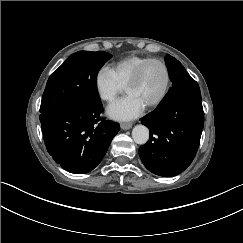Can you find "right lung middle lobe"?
<instances>
[{"instance_id":"obj_1","label":"right lung middle lobe","mask_w":243,"mask_h":243,"mask_svg":"<svg viewBox=\"0 0 243 243\" xmlns=\"http://www.w3.org/2000/svg\"><path fill=\"white\" fill-rule=\"evenodd\" d=\"M111 57V54L102 51H79L69 56L49 77L40 112L67 100L101 103L97 91V73Z\"/></svg>"}]
</instances>
